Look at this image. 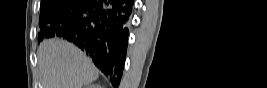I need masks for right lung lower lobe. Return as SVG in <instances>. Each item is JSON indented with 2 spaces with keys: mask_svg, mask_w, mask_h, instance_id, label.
<instances>
[{
  "mask_svg": "<svg viewBox=\"0 0 267 88\" xmlns=\"http://www.w3.org/2000/svg\"><path fill=\"white\" fill-rule=\"evenodd\" d=\"M132 5L133 0H80L43 28L44 38L59 36L75 43L117 86L125 63Z\"/></svg>",
  "mask_w": 267,
  "mask_h": 88,
  "instance_id": "1",
  "label": "right lung lower lobe"
}]
</instances>
